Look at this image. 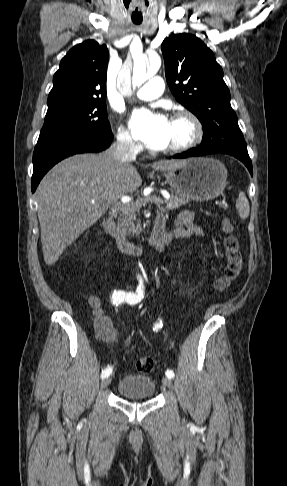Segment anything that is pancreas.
Returning a JSON list of instances; mask_svg holds the SVG:
<instances>
[{
    "label": "pancreas",
    "mask_w": 287,
    "mask_h": 486,
    "mask_svg": "<svg viewBox=\"0 0 287 486\" xmlns=\"http://www.w3.org/2000/svg\"><path fill=\"white\" fill-rule=\"evenodd\" d=\"M146 199V198H145ZM144 199H140L135 203H130L123 205L122 209L120 210L119 220H118V228L121 230L122 233L128 234H136L139 235L142 228L140 221L138 219L139 210L142 204L141 201ZM189 202V199L186 197H177L174 194L170 195L168 201H166L165 209L173 210L177 209L182 205H185Z\"/></svg>",
    "instance_id": "cf45deb5"
}]
</instances>
